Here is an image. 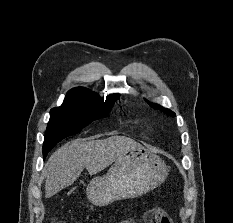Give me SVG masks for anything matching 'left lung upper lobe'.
Segmentation results:
<instances>
[{
	"label": "left lung upper lobe",
	"mask_w": 233,
	"mask_h": 223,
	"mask_svg": "<svg viewBox=\"0 0 233 223\" xmlns=\"http://www.w3.org/2000/svg\"><path fill=\"white\" fill-rule=\"evenodd\" d=\"M146 100V99H145ZM147 101V100H146ZM148 102V101H147ZM149 105L153 108H156V109H159V110H162L164 113H166L167 115L171 116V117H174L175 116V113L172 112L171 110L167 109V108H163L161 107L160 105L158 104H152L150 102H148Z\"/></svg>",
	"instance_id": "5c2ea615"
}]
</instances>
